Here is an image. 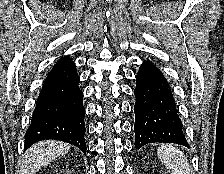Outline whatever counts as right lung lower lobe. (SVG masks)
<instances>
[{"label":"right lung lower lobe","mask_w":224,"mask_h":174,"mask_svg":"<svg viewBox=\"0 0 224 174\" xmlns=\"http://www.w3.org/2000/svg\"><path fill=\"white\" fill-rule=\"evenodd\" d=\"M74 62L63 57L47 75L38 96L25 150L40 140L55 139L77 146L86 154L85 109Z\"/></svg>","instance_id":"98d812e1"}]
</instances>
